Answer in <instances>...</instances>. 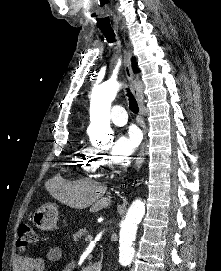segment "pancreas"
<instances>
[{
  "label": "pancreas",
  "instance_id": "cf45deb5",
  "mask_svg": "<svg viewBox=\"0 0 221 271\" xmlns=\"http://www.w3.org/2000/svg\"><path fill=\"white\" fill-rule=\"evenodd\" d=\"M87 234H90L89 231H87V229H79V231H76V233H73L72 242H83L84 239L82 235L87 236Z\"/></svg>",
  "mask_w": 221,
  "mask_h": 271
}]
</instances>
